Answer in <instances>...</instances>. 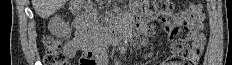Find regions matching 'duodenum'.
Here are the masks:
<instances>
[{
    "label": "duodenum",
    "mask_w": 232,
    "mask_h": 65,
    "mask_svg": "<svg viewBox=\"0 0 232 65\" xmlns=\"http://www.w3.org/2000/svg\"><path fill=\"white\" fill-rule=\"evenodd\" d=\"M73 11L77 15V24L84 30L88 37V49L100 54L105 49L116 42H123L127 34L132 31L119 26L106 31H98L93 25L92 11L87 8L82 1H76L73 5ZM146 21L142 18L133 24V29H146Z\"/></svg>",
    "instance_id": "obj_1"
}]
</instances>
